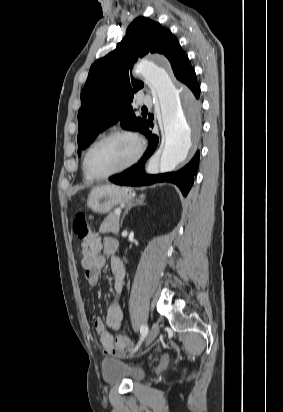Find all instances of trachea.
<instances>
[{
	"instance_id": "obj_1",
	"label": "trachea",
	"mask_w": 283,
	"mask_h": 412,
	"mask_svg": "<svg viewBox=\"0 0 283 412\" xmlns=\"http://www.w3.org/2000/svg\"><path fill=\"white\" fill-rule=\"evenodd\" d=\"M143 112H147V108H143Z\"/></svg>"
}]
</instances>
